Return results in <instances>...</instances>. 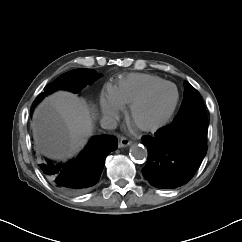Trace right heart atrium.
<instances>
[{
	"label": "right heart atrium",
	"mask_w": 242,
	"mask_h": 242,
	"mask_svg": "<svg viewBox=\"0 0 242 242\" xmlns=\"http://www.w3.org/2000/svg\"><path fill=\"white\" fill-rule=\"evenodd\" d=\"M99 102L105 120H111L123 111L122 104L114 97L112 92L101 94Z\"/></svg>",
	"instance_id": "1"
}]
</instances>
